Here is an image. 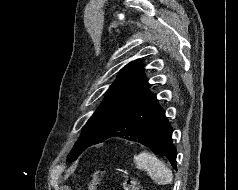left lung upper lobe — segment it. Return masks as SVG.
<instances>
[{"label":"left lung upper lobe","mask_w":238,"mask_h":190,"mask_svg":"<svg viewBox=\"0 0 238 190\" xmlns=\"http://www.w3.org/2000/svg\"><path fill=\"white\" fill-rule=\"evenodd\" d=\"M150 87L139 60L128 63L108 89L106 96L85 124L68 161L72 162L89 146L100 143L109 134L124 111L130 108Z\"/></svg>","instance_id":"obj_1"}]
</instances>
